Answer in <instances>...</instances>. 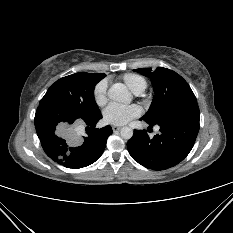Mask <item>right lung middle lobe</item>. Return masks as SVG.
<instances>
[{
	"label": "right lung middle lobe",
	"instance_id": "right-lung-middle-lobe-1",
	"mask_svg": "<svg viewBox=\"0 0 233 233\" xmlns=\"http://www.w3.org/2000/svg\"><path fill=\"white\" fill-rule=\"evenodd\" d=\"M100 81L92 73H75L57 80L41 99L74 119H89L100 113L94 99V87Z\"/></svg>",
	"mask_w": 233,
	"mask_h": 233
}]
</instances>
